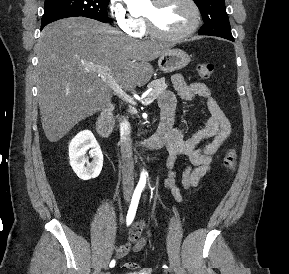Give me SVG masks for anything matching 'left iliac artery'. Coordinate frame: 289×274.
<instances>
[{
    "mask_svg": "<svg viewBox=\"0 0 289 274\" xmlns=\"http://www.w3.org/2000/svg\"><path fill=\"white\" fill-rule=\"evenodd\" d=\"M163 268H165V269L169 270V269H168V267H167L166 265H163Z\"/></svg>",
    "mask_w": 289,
    "mask_h": 274,
    "instance_id": "left-iliac-artery-1",
    "label": "left iliac artery"
}]
</instances>
